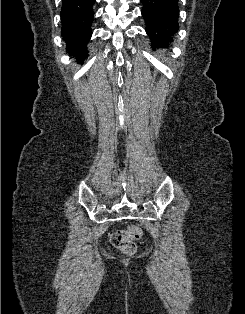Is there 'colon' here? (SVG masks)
<instances>
[{
	"label": "colon",
	"mask_w": 245,
	"mask_h": 314,
	"mask_svg": "<svg viewBox=\"0 0 245 314\" xmlns=\"http://www.w3.org/2000/svg\"><path fill=\"white\" fill-rule=\"evenodd\" d=\"M142 237V230L136 225L128 227L127 230L118 231L112 234L111 243L120 251L131 255L136 250L135 241Z\"/></svg>",
	"instance_id": "colon-1"
}]
</instances>
